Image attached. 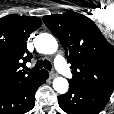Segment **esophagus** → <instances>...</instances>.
<instances>
[{"mask_svg":"<svg viewBox=\"0 0 114 114\" xmlns=\"http://www.w3.org/2000/svg\"><path fill=\"white\" fill-rule=\"evenodd\" d=\"M49 75H50V78H54V77L57 76V73L54 72V71H51V72L49 73Z\"/></svg>","mask_w":114,"mask_h":114,"instance_id":"1","label":"esophagus"}]
</instances>
